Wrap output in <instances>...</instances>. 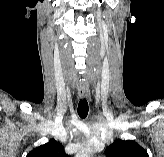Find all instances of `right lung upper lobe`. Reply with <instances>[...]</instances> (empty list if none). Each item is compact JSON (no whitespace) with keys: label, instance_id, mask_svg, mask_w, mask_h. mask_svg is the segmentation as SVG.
<instances>
[{"label":"right lung upper lobe","instance_id":"1","mask_svg":"<svg viewBox=\"0 0 164 157\" xmlns=\"http://www.w3.org/2000/svg\"><path fill=\"white\" fill-rule=\"evenodd\" d=\"M26 157H69L64 152V147L54 139L33 149Z\"/></svg>","mask_w":164,"mask_h":157}]
</instances>
